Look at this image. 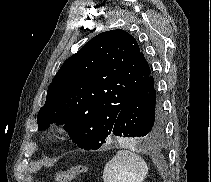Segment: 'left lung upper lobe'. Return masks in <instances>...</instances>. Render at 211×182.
<instances>
[{"mask_svg": "<svg viewBox=\"0 0 211 182\" xmlns=\"http://www.w3.org/2000/svg\"><path fill=\"white\" fill-rule=\"evenodd\" d=\"M150 73L136 39L128 32L100 33L59 68L38 113V129L65 124L78 147L96 150Z\"/></svg>", "mask_w": 211, "mask_h": 182, "instance_id": "1", "label": "left lung upper lobe"}]
</instances>
